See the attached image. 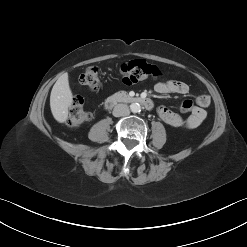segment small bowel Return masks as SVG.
Masks as SVG:
<instances>
[{"label": "small bowel", "mask_w": 247, "mask_h": 247, "mask_svg": "<svg viewBox=\"0 0 247 247\" xmlns=\"http://www.w3.org/2000/svg\"><path fill=\"white\" fill-rule=\"evenodd\" d=\"M189 85L182 81L169 80L166 82H158L154 86V91L158 94L177 93L187 94L189 93ZM211 99L208 95L202 94L196 98L197 106L191 110L190 115L187 118H182L179 114L171 111L165 106H161L157 109V113L162 121L172 127H183L188 129L197 128L202 124L206 118V108L209 107Z\"/></svg>", "instance_id": "1"}]
</instances>
